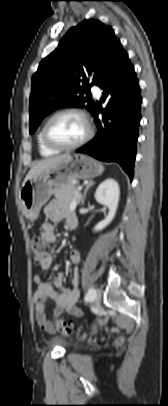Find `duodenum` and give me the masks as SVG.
I'll list each match as a JSON object with an SVG mask.
<instances>
[{
    "label": "duodenum",
    "instance_id": "410a0bca",
    "mask_svg": "<svg viewBox=\"0 0 168 406\" xmlns=\"http://www.w3.org/2000/svg\"><path fill=\"white\" fill-rule=\"evenodd\" d=\"M77 225V222H70L69 227L70 228H75Z\"/></svg>",
    "mask_w": 168,
    "mask_h": 406
}]
</instances>
